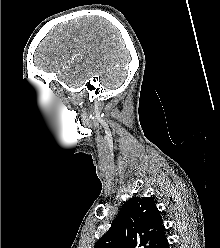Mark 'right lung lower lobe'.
I'll list each match as a JSON object with an SVG mask.
<instances>
[{"label":"right lung lower lobe","instance_id":"98d812e1","mask_svg":"<svg viewBox=\"0 0 220 248\" xmlns=\"http://www.w3.org/2000/svg\"><path fill=\"white\" fill-rule=\"evenodd\" d=\"M157 248H169V243L167 239L165 238Z\"/></svg>","mask_w":220,"mask_h":248}]
</instances>
